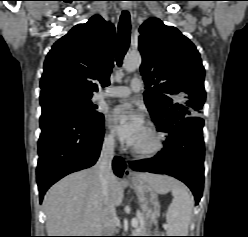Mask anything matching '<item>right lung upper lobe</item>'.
Here are the masks:
<instances>
[{"label": "right lung upper lobe", "instance_id": "cb5924a9", "mask_svg": "<svg viewBox=\"0 0 248 237\" xmlns=\"http://www.w3.org/2000/svg\"><path fill=\"white\" fill-rule=\"evenodd\" d=\"M115 28L101 16L74 26L48 53L41 77L40 103L59 97L91 99L95 81L109 85L114 63Z\"/></svg>", "mask_w": 248, "mask_h": 237}]
</instances>
